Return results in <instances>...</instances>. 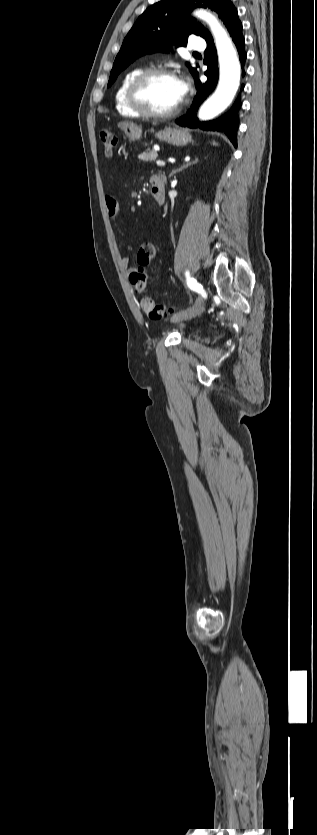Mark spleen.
<instances>
[{"instance_id":"obj_1","label":"spleen","mask_w":317,"mask_h":835,"mask_svg":"<svg viewBox=\"0 0 317 835\" xmlns=\"http://www.w3.org/2000/svg\"><path fill=\"white\" fill-rule=\"evenodd\" d=\"M213 145H217L216 142H213Z\"/></svg>"}]
</instances>
